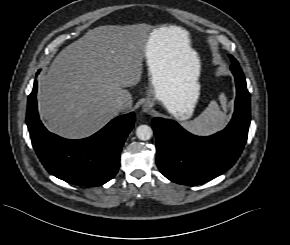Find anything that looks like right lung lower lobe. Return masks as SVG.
<instances>
[{"label":"right lung lower lobe","mask_w":290,"mask_h":245,"mask_svg":"<svg viewBox=\"0 0 290 245\" xmlns=\"http://www.w3.org/2000/svg\"><path fill=\"white\" fill-rule=\"evenodd\" d=\"M37 82L27 101V126L32 145L46 168L75 185L99 186L118 172L120 151L134 126V113L114 118L96 134L69 140L50 133L41 123L36 102Z\"/></svg>","instance_id":"obj_1"}]
</instances>
